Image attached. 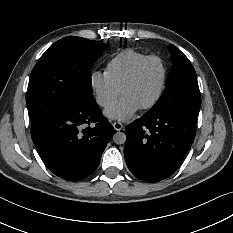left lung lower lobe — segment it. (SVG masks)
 <instances>
[{
	"instance_id": "left-lung-lower-lobe-1",
	"label": "left lung lower lobe",
	"mask_w": 233,
	"mask_h": 233,
	"mask_svg": "<svg viewBox=\"0 0 233 233\" xmlns=\"http://www.w3.org/2000/svg\"><path fill=\"white\" fill-rule=\"evenodd\" d=\"M197 115L147 116L126 127L125 160L139 179L154 183L171 176L195 138Z\"/></svg>"
}]
</instances>
